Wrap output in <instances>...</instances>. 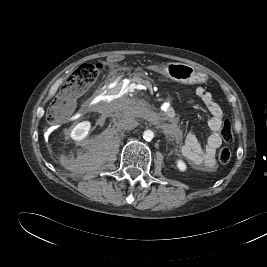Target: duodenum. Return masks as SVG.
Returning <instances> with one entry per match:
<instances>
[{"instance_id": "410a0bca", "label": "duodenum", "mask_w": 267, "mask_h": 267, "mask_svg": "<svg viewBox=\"0 0 267 267\" xmlns=\"http://www.w3.org/2000/svg\"><path fill=\"white\" fill-rule=\"evenodd\" d=\"M126 92V87L119 83H110L107 86L106 99L108 101H115L118 97L122 96ZM162 115L171 121L175 118V112L173 108L167 107L162 111Z\"/></svg>"}]
</instances>
